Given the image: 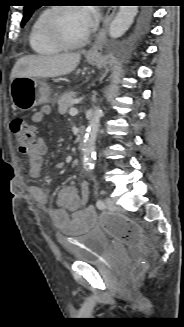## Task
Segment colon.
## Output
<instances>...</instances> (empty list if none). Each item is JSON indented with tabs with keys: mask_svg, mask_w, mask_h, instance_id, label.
I'll return each instance as SVG.
<instances>
[{
	"mask_svg": "<svg viewBox=\"0 0 184 327\" xmlns=\"http://www.w3.org/2000/svg\"><path fill=\"white\" fill-rule=\"evenodd\" d=\"M11 131L21 152H29L35 145L37 137L36 128L24 118L17 117L13 119ZM100 220L108 228L109 232L119 240L134 243L141 237L139 228L128 219L102 215ZM144 268V262H139L135 267V272L140 274L144 271Z\"/></svg>",
	"mask_w": 184,
	"mask_h": 327,
	"instance_id": "5ec220e1",
	"label": "colon"
}]
</instances>
